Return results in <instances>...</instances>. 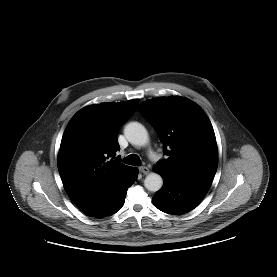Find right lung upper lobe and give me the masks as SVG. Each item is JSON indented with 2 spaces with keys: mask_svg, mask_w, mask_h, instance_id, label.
Listing matches in <instances>:
<instances>
[{
  "mask_svg": "<svg viewBox=\"0 0 277 277\" xmlns=\"http://www.w3.org/2000/svg\"><path fill=\"white\" fill-rule=\"evenodd\" d=\"M138 103L134 99L87 106L68 123L58 153V170L78 207L96 200L132 168L115 157L120 149L117 133Z\"/></svg>",
  "mask_w": 277,
  "mask_h": 277,
  "instance_id": "cb5924a9",
  "label": "right lung upper lobe"
}]
</instances>
